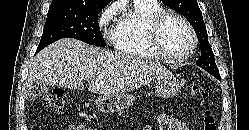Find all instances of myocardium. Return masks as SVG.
I'll return each mask as SVG.
<instances>
[{
    "label": "myocardium",
    "mask_w": 249,
    "mask_h": 130,
    "mask_svg": "<svg viewBox=\"0 0 249 130\" xmlns=\"http://www.w3.org/2000/svg\"><path fill=\"white\" fill-rule=\"evenodd\" d=\"M172 18L179 20L186 27L191 38V44H190L189 50L187 51L186 54L180 57H173L169 55L163 49L161 45L160 35H161L162 27L169 19H172ZM147 35H148V41H149L150 47L153 50V52L159 58L169 63L178 64V63H183L189 60L193 56L198 46L197 34L192 24L188 21L186 17L176 12H163L160 15L153 18L151 22L149 23Z\"/></svg>",
    "instance_id": "1"
}]
</instances>
